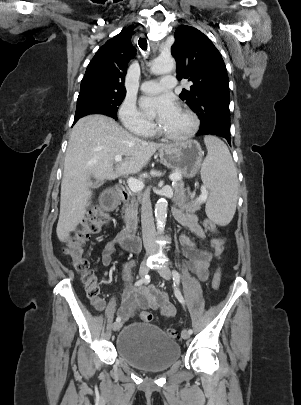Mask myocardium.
<instances>
[{"instance_id":"obj_1","label":"myocardium","mask_w":301,"mask_h":405,"mask_svg":"<svg viewBox=\"0 0 301 405\" xmlns=\"http://www.w3.org/2000/svg\"><path fill=\"white\" fill-rule=\"evenodd\" d=\"M181 112L184 113L191 121V126L187 132L183 134H171L163 130L161 126H157L156 127L157 133L162 137L171 141H185L192 138L199 129L200 125L199 118L192 110L188 108L181 109Z\"/></svg>"}]
</instances>
